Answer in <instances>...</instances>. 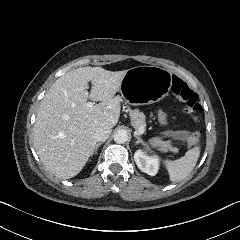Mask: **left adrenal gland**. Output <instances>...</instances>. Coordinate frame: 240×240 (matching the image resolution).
<instances>
[{"label":"left adrenal gland","instance_id":"obj_1","mask_svg":"<svg viewBox=\"0 0 240 240\" xmlns=\"http://www.w3.org/2000/svg\"><path fill=\"white\" fill-rule=\"evenodd\" d=\"M134 137L136 138V143L141 142L143 145H149L146 141L143 140L141 136L134 134Z\"/></svg>","mask_w":240,"mask_h":240}]
</instances>
